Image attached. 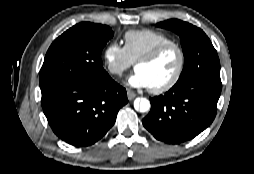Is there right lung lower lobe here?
Returning <instances> with one entry per match:
<instances>
[{"instance_id":"right-lung-lower-lobe-1","label":"right lung lower lobe","mask_w":254,"mask_h":174,"mask_svg":"<svg viewBox=\"0 0 254 174\" xmlns=\"http://www.w3.org/2000/svg\"><path fill=\"white\" fill-rule=\"evenodd\" d=\"M127 102L126 90L108 74L96 81L49 88L42 91L41 99L53 132L76 147L89 146L101 139Z\"/></svg>"}]
</instances>
